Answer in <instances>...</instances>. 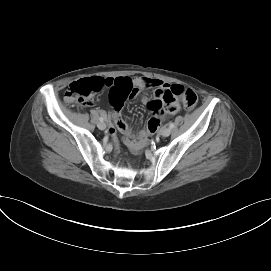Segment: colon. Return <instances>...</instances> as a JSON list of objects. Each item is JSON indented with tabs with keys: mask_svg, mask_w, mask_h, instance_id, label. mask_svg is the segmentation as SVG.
Returning <instances> with one entry per match:
<instances>
[{
	"mask_svg": "<svg viewBox=\"0 0 271 271\" xmlns=\"http://www.w3.org/2000/svg\"><path fill=\"white\" fill-rule=\"evenodd\" d=\"M105 83L102 78L98 77L75 81L67 87L64 100L68 104L91 105L93 96L105 87ZM162 100L166 107L181 102L185 109L192 110L196 106L198 98L193 90L174 84L162 93ZM158 126L159 121L151 118L135 146L139 147L148 142L150 135L157 130Z\"/></svg>",
	"mask_w": 271,
	"mask_h": 271,
	"instance_id": "5ec220e1",
	"label": "colon"
}]
</instances>
